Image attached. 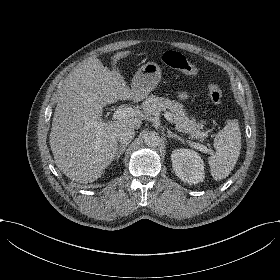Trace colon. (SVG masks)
Segmentation results:
<instances>
[{"label": "colon", "instance_id": "5ec220e1", "mask_svg": "<svg viewBox=\"0 0 280 280\" xmlns=\"http://www.w3.org/2000/svg\"><path fill=\"white\" fill-rule=\"evenodd\" d=\"M163 60L167 64H172L176 69H181L186 72H195L191 64L181 55H176L173 51H167L163 55ZM209 97L215 104H221L223 101L222 90L219 86L211 84L208 89Z\"/></svg>", "mask_w": 280, "mask_h": 280}]
</instances>
